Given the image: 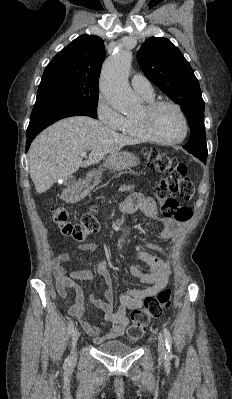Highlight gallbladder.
<instances>
[{
    "mask_svg": "<svg viewBox=\"0 0 232 399\" xmlns=\"http://www.w3.org/2000/svg\"><path fill=\"white\" fill-rule=\"evenodd\" d=\"M76 182V178H74V176H67V178H64L63 180V184H65V186H71V184H75Z\"/></svg>",
    "mask_w": 232,
    "mask_h": 399,
    "instance_id": "bac80fb5",
    "label": "gallbladder"
}]
</instances>
